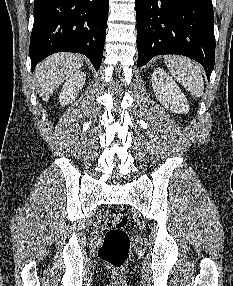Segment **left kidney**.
<instances>
[{
  "instance_id": "obj_1",
  "label": "left kidney",
  "mask_w": 233,
  "mask_h": 286,
  "mask_svg": "<svg viewBox=\"0 0 233 286\" xmlns=\"http://www.w3.org/2000/svg\"><path fill=\"white\" fill-rule=\"evenodd\" d=\"M151 79L154 93L166 109L178 114L189 111V104L185 95L163 69L156 68Z\"/></svg>"
}]
</instances>
